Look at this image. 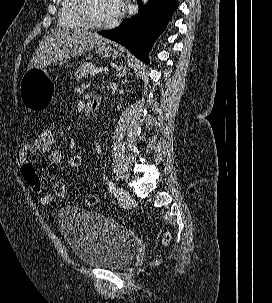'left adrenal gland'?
I'll list each match as a JSON object with an SVG mask.
<instances>
[{
  "instance_id": "left-adrenal-gland-1",
  "label": "left adrenal gland",
  "mask_w": 272,
  "mask_h": 303,
  "mask_svg": "<svg viewBox=\"0 0 272 303\" xmlns=\"http://www.w3.org/2000/svg\"><path fill=\"white\" fill-rule=\"evenodd\" d=\"M126 75V70L125 69H121V71L119 72L118 76L120 78H123Z\"/></svg>"
}]
</instances>
